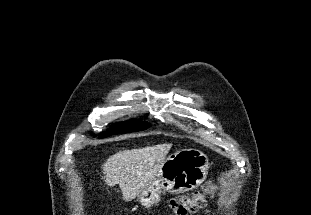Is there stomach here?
Listing matches in <instances>:
<instances>
[{"instance_id": "0dacf381", "label": "stomach", "mask_w": 311, "mask_h": 215, "mask_svg": "<svg viewBox=\"0 0 311 215\" xmlns=\"http://www.w3.org/2000/svg\"><path fill=\"white\" fill-rule=\"evenodd\" d=\"M209 169L208 157L197 149H181L169 155L155 178L139 195V203L149 208L160 201L162 191L181 193L200 186Z\"/></svg>"}]
</instances>
